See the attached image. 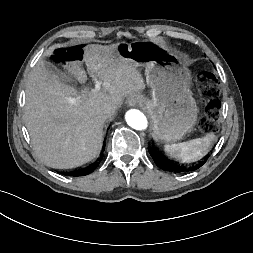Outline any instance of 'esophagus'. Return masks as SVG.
Here are the masks:
<instances>
[{"instance_id":"34e87169","label":"esophagus","mask_w":253,"mask_h":253,"mask_svg":"<svg viewBox=\"0 0 253 253\" xmlns=\"http://www.w3.org/2000/svg\"><path fill=\"white\" fill-rule=\"evenodd\" d=\"M140 102V99L137 95H131L129 98H128V105L130 107H134L136 106L138 103Z\"/></svg>"}]
</instances>
